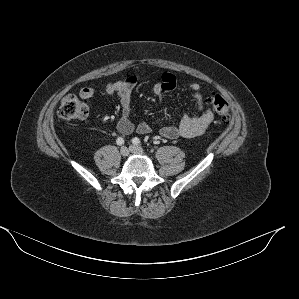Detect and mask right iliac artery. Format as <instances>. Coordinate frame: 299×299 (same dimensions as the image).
Here are the masks:
<instances>
[{"instance_id": "82829eb1", "label": "right iliac artery", "mask_w": 299, "mask_h": 299, "mask_svg": "<svg viewBox=\"0 0 299 299\" xmlns=\"http://www.w3.org/2000/svg\"><path fill=\"white\" fill-rule=\"evenodd\" d=\"M116 143H117V145H122V144H124V139L122 137H118L116 139Z\"/></svg>"}]
</instances>
